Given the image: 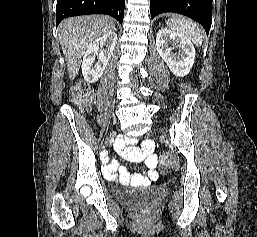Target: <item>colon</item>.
Listing matches in <instances>:
<instances>
[{
  "label": "colon",
  "instance_id": "obj_1",
  "mask_svg": "<svg viewBox=\"0 0 257 237\" xmlns=\"http://www.w3.org/2000/svg\"><path fill=\"white\" fill-rule=\"evenodd\" d=\"M72 99L81 109H87L92 99V91L89 85L84 82H79L72 91ZM161 161L163 171L175 165V159L171 154H163Z\"/></svg>",
  "mask_w": 257,
  "mask_h": 237
}]
</instances>
